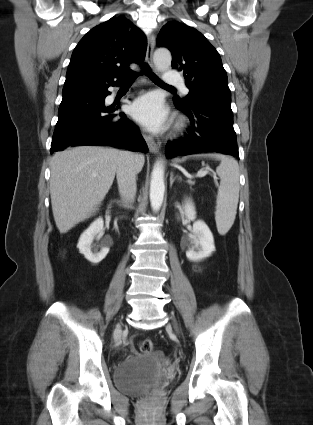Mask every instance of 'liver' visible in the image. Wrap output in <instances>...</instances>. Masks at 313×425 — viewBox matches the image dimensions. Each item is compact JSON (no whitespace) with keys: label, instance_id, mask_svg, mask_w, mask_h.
<instances>
[{"label":"liver","instance_id":"liver-1","mask_svg":"<svg viewBox=\"0 0 313 425\" xmlns=\"http://www.w3.org/2000/svg\"><path fill=\"white\" fill-rule=\"evenodd\" d=\"M113 148L81 146L57 152L50 168V196L56 226L67 233L91 217L108 193L121 155ZM137 173L145 158L134 154Z\"/></svg>","mask_w":313,"mask_h":425}]
</instances>
